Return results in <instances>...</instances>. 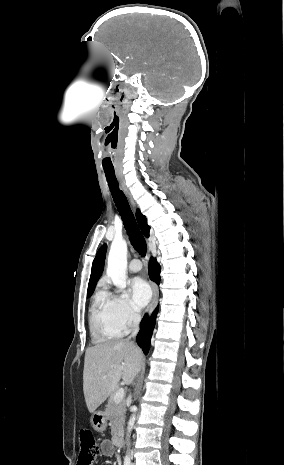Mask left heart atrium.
Instances as JSON below:
<instances>
[{
    "mask_svg": "<svg viewBox=\"0 0 284 465\" xmlns=\"http://www.w3.org/2000/svg\"><path fill=\"white\" fill-rule=\"evenodd\" d=\"M129 302L136 310L143 309L151 298V290L142 278H134L129 282Z\"/></svg>",
    "mask_w": 284,
    "mask_h": 465,
    "instance_id": "left-heart-atrium-1",
    "label": "left heart atrium"
}]
</instances>
